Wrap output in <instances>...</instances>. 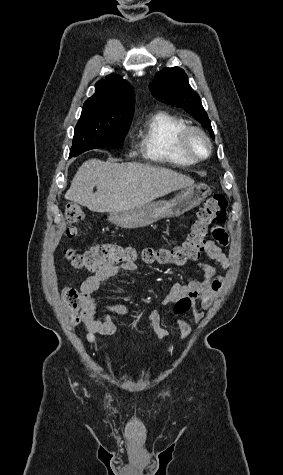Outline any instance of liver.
<instances>
[{"mask_svg": "<svg viewBox=\"0 0 283 475\" xmlns=\"http://www.w3.org/2000/svg\"><path fill=\"white\" fill-rule=\"evenodd\" d=\"M189 186H194V180L161 166L88 160L78 168L65 198L91 212H122Z\"/></svg>", "mask_w": 283, "mask_h": 475, "instance_id": "6515ba94", "label": "liver"}]
</instances>
